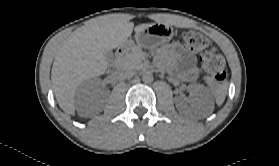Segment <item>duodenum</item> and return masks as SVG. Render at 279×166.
Listing matches in <instances>:
<instances>
[{
	"instance_id": "1",
	"label": "duodenum",
	"mask_w": 279,
	"mask_h": 166,
	"mask_svg": "<svg viewBox=\"0 0 279 166\" xmlns=\"http://www.w3.org/2000/svg\"><path fill=\"white\" fill-rule=\"evenodd\" d=\"M132 46V43L128 42L118 48L115 59L111 65L112 73H116L121 68L124 56L130 51Z\"/></svg>"
}]
</instances>
